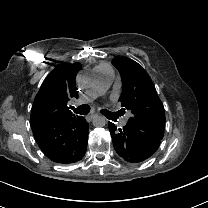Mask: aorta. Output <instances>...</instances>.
Instances as JSON below:
<instances>
[{"label": "aorta", "instance_id": "762f6f07", "mask_svg": "<svg viewBox=\"0 0 208 208\" xmlns=\"http://www.w3.org/2000/svg\"><path fill=\"white\" fill-rule=\"evenodd\" d=\"M92 124L95 127H104L106 124V120L104 116L101 115H94L93 116V120H92Z\"/></svg>", "mask_w": 208, "mask_h": 208}]
</instances>
